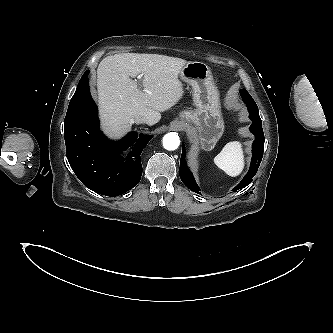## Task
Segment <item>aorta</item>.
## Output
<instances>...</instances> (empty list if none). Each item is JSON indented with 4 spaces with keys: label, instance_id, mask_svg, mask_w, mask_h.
Wrapping results in <instances>:
<instances>
[{
    "label": "aorta",
    "instance_id": "762f6f07",
    "mask_svg": "<svg viewBox=\"0 0 333 333\" xmlns=\"http://www.w3.org/2000/svg\"><path fill=\"white\" fill-rule=\"evenodd\" d=\"M180 145L179 136L175 132H170L163 137V147L166 150H176Z\"/></svg>",
    "mask_w": 333,
    "mask_h": 333
}]
</instances>
